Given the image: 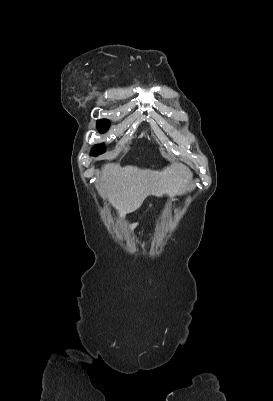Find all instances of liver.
Instances as JSON below:
<instances>
[{"label": "liver", "mask_w": 273, "mask_h": 401, "mask_svg": "<svg viewBox=\"0 0 273 401\" xmlns=\"http://www.w3.org/2000/svg\"><path fill=\"white\" fill-rule=\"evenodd\" d=\"M192 176L189 166L182 162H174L164 170L119 166L108 162L98 174L96 188L99 194L109 198L120 219H125L127 213H133L141 207L149 194H168L171 198L175 194H182Z\"/></svg>", "instance_id": "6515ba94"}]
</instances>
